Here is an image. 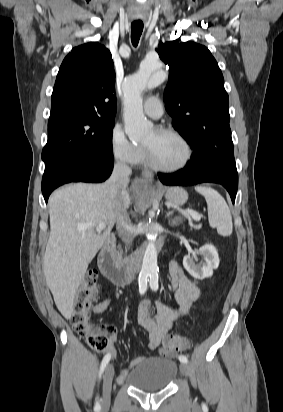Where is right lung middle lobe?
Segmentation results:
<instances>
[{"instance_id":"right-lung-middle-lobe-1","label":"right lung middle lobe","mask_w":283,"mask_h":412,"mask_svg":"<svg viewBox=\"0 0 283 412\" xmlns=\"http://www.w3.org/2000/svg\"><path fill=\"white\" fill-rule=\"evenodd\" d=\"M94 112L69 111L50 116L48 141L42 151L44 162L61 156L113 159L112 128Z\"/></svg>"}]
</instances>
